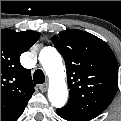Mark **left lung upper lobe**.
Listing matches in <instances>:
<instances>
[{
    "mask_svg": "<svg viewBox=\"0 0 121 121\" xmlns=\"http://www.w3.org/2000/svg\"><path fill=\"white\" fill-rule=\"evenodd\" d=\"M64 57L70 98L63 114L88 121L112 102L118 88V65L110 47L98 37L76 29L52 37Z\"/></svg>",
    "mask_w": 121,
    "mask_h": 121,
    "instance_id": "1",
    "label": "left lung upper lobe"
}]
</instances>
